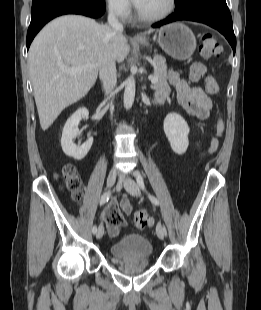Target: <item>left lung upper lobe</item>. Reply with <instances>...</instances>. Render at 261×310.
Returning a JSON list of instances; mask_svg holds the SVG:
<instances>
[{
  "instance_id": "obj_1",
  "label": "left lung upper lobe",
  "mask_w": 261,
  "mask_h": 310,
  "mask_svg": "<svg viewBox=\"0 0 261 310\" xmlns=\"http://www.w3.org/2000/svg\"><path fill=\"white\" fill-rule=\"evenodd\" d=\"M194 0H175V6L177 10H181L184 7L188 6Z\"/></svg>"
}]
</instances>
